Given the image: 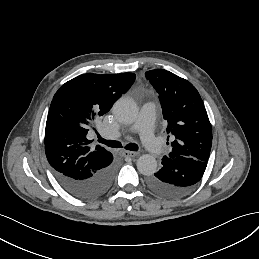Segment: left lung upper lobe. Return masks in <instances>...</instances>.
Here are the masks:
<instances>
[{
  "mask_svg": "<svg viewBox=\"0 0 259 259\" xmlns=\"http://www.w3.org/2000/svg\"><path fill=\"white\" fill-rule=\"evenodd\" d=\"M145 75L159 93L167 134L175 137L169 157L186 156L208 162L212 128L197 89L164 69L151 70Z\"/></svg>",
  "mask_w": 259,
  "mask_h": 259,
  "instance_id": "5c2ea615",
  "label": "left lung upper lobe"
}]
</instances>
